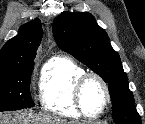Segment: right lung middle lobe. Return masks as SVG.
<instances>
[{
  "mask_svg": "<svg viewBox=\"0 0 145 124\" xmlns=\"http://www.w3.org/2000/svg\"><path fill=\"white\" fill-rule=\"evenodd\" d=\"M34 63L0 70V112L33 107L30 95V77Z\"/></svg>",
  "mask_w": 145,
  "mask_h": 124,
  "instance_id": "right-lung-middle-lobe-1",
  "label": "right lung middle lobe"
}]
</instances>
